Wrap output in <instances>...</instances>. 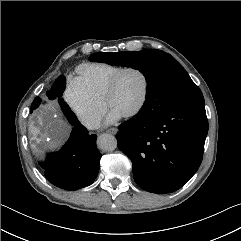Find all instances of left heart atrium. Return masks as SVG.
Wrapping results in <instances>:
<instances>
[{
    "instance_id": "1",
    "label": "left heart atrium",
    "mask_w": 241,
    "mask_h": 241,
    "mask_svg": "<svg viewBox=\"0 0 241 241\" xmlns=\"http://www.w3.org/2000/svg\"><path fill=\"white\" fill-rule=\"evenodd\" d=\"M121 117L122 115L118 111L114 109H109L106 115L105 124L107 125L113 124L118 120H120Z\"/></svg>"
}]
</instances>
